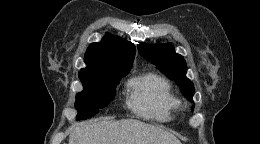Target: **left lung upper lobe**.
<instances>
[{"instance_id": "5c2ea615", "label": "left lung upper lobe", "mask_w": 260, "mask_h": 144, "mask_svg": "<svg viewBox=\"0 0 260 144\" xmlns=\"http://www.w3.org/2000/svg\"><path fill=\"white\" fill-rule=\"evenodd\" d=\"M138 50L144 59L158 66L169 79L175 80L185 97L192 99L195 90L193 83L186 77V62L183 56L175 53L171 43L149 45L142 42Z\"/></svg>"}]
</instances>
